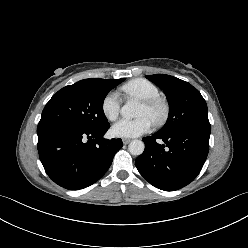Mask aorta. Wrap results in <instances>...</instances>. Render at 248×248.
I'll use <instances>...</instances> for the list:
<instances>
[{
    "label": "aorta",
    "instance_id": "obj_1",
    "mask_svg": "<svg viewBox=\"0 0 248 248\" xmlns=\"http://www.w3.org/2000/svg\"><path fill=\"white\" fill-rule=\"evenodd\" d=\"M121 113L126 118H134L138 115V103L128 100L122 107ZM129 152L133 155H141L144 152L145 145L141 140H132L128 145Z\"/></svg>",
    "mask_w": 248,
    "mask_h": 248
}]
</instances>
